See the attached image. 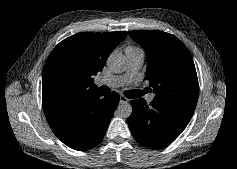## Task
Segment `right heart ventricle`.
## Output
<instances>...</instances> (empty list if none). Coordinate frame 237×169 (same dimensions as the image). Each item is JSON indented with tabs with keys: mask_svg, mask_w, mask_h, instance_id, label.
I'll use <instances>...</instances> for the list:
<instances>
[{
	"mask_svg": "<svg viewBox=\"0 0 237 169\" xmlns=\"http://www.w3.org/2000/svg\"><path fill=\"white\" fill-rule=\"evenodd\" d=\"M126 53L128 56H132V55H136V54H141V53H143V51L139 47H127Z\"/></svg>",
	"mask_w": 237,
	"mask_h": 169,
	"instance_id": "obj_1",
	"label": "right heart ventricle"
}]
</instances>
